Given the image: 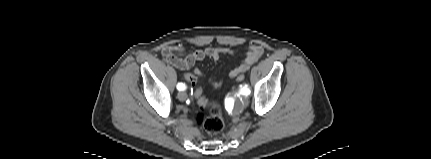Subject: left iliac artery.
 <instances>
[{
    "mask_svg": "<svg viewBox=\"0 0 431 159\" xmlns=\"http://www.w3.org/2000/svg\"><path fill=\"white\" fill-rule=\"evenodd\" d=\"M241 94H243V95H249L250 94V90H249V88H247V87H243L242 89H241Z\"/></svg>",
    "mask_w": 431,
    "mask_h": 159,
    "instance_id": "obj_1",
    "label": "left iliac artery"
}]
</instances>
